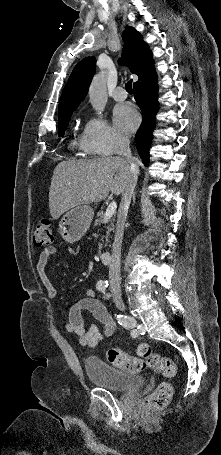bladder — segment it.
I'll list each match as a JSON object with an SVG mask.
<instances>
[{"label":"bladder","mask_w":221,"mask_h":455,"mask_svg":"<svg viewBox=\"0 0 221 455\" xmlns=\"http://www.w3.org/2000/svg\"><path fill=\"white\" fill-rule=\"evenodd\" d=\"M84 369L92 382L112 391H132L144 384L142 376L125 373L96 359H86Z\"/></svg>","instance_id":"obj_1"}]
</instances>
